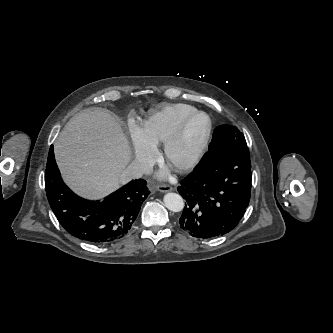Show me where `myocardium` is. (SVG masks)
Segmentation results:
<instances>
[{
  "label": "myocardium",
  "instance_id": "f54148a6",
  "mask_svg": "<svg viewBox=\"0 0 333 333\" xmlns=\"http://www.w3.org/2000/svg\"><path fill=\"white\" fill-rule=\"evenodd\" d=\"M202 116L206 120V126L204 132L199 139L198 143L190 153V155L183 161L178 162L175 158L177 150L182 145L187 127L191 123V121L196 118ZM212 119L211 117L204 111L196 110L187 116H185L169 139L165 142L164 146V158L168 165L179 173H184L193 169L201 160L204 152L208 146L211 133H212Z\"/></svg>",
  "mask_w": 333,
  "mask_h": 333
}]
</instances>
